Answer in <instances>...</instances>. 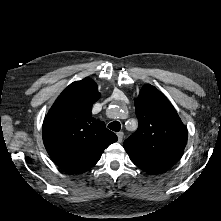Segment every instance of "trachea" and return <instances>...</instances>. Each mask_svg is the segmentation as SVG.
<instances>
[{
	"label": "trachea",
	"instance_id": "obj_1",
	"mask_svg": "<svg viewBox=\"0 0 221 221\" xmlns=\"http://www.w3.org/2000/svg\"><path fill=\"white\" fill-rule=\"evenodd\" d=\"M108 128L111 129L112 131L119 132L121 129V124L118 121H114L108 125Z\"/></svg>",
	"mask_w": 221,
	"mask_h": 221
}]
</instances>
